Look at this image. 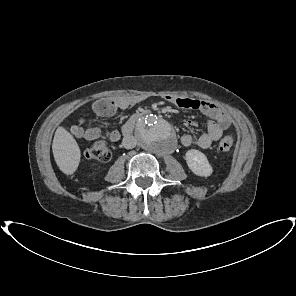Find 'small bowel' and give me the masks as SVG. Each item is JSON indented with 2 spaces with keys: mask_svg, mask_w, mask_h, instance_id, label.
Listing matches in <instances>:
<instances>
[{
  "mask_svg": "<svg viewBox=\"0 0 296 296\" xmlns=\"http://www.w3.org/2000/svg\"><path fill=\"white\" fill-rule=\"evenodd\" d=\"M165 100L182 109L199 110L210 118L206 125V131L196 140V144L201 149H208L213 142L219 140L223 132L231 124V118L227 112L211 102L195 98L176 96H166ZM136 101V99H127L123 97L100 99L95 101L91 108L98 117H107L112 116L119 110L127 109ZM185 125L193 126L194 122L192 120H186ZM70 132L74 137L87 141L105 137L112 142H117L122 136V131L119 130L102 131L97 127L85 129L82 127L81 123L71 126ZM180 143L184 147H189L193 143V137L187 133L182 134L180 136Z\"/></svg>",
  "mask_w": 296,
  "mask_h": 296,
  "instance_id": "small-bowel-1",
  "label": "small bowel"
}]
</instances>
